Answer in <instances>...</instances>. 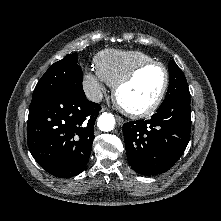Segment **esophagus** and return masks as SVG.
Returning <instances> with one entry per match:
<instances>
[{"label":"esophagus","mask_w":221,"mask_h":221,"mask_svg":"<svg viewBox=\"0 0 221 221\" xmlns=\"http://www.w3.org/2000/svg\"><path fill=\"white\" fill-rule=\"evenodd\" d=\"M104 109H102V111H103ZM116 119H117V122H118V124L119 125H123L124 124V120L120 117V116H116Z\"/></svg>","instance_id":"1"}]
</instances>
